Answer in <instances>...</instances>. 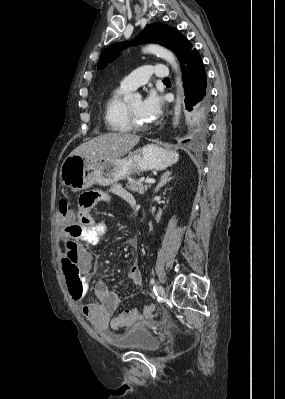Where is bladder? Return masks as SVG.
I'll return each instance as SVG.
<instances>
[{
    "label": "bladder",
    "mask_w": 285,
    "mask_h": 399,
    "mask_svg": "<svg viewBox=\"0 0 285 399\" xmlns=\"http://www.w3.org/2000/svg\"><path fill=\"white\" fill-rule=\"evenodd\" d=\"M115 342L122 350L140 351L143 353H154L160 346L155 336L141 326L128 328Z\"/></svg>",
    "instance_id": "obj_1"
}]
</instances>
